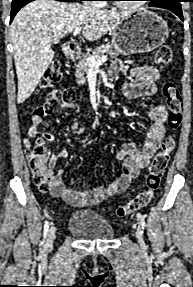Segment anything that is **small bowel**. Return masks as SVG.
I'll list each match as a JSON object with an SVG mask.
<instances>
[{
	"label": "small bowel",
	"instance_id": "1",
	"mask_svg": "<svg viewBox=\"0 0 193 287\" xmlns=\"http://www.w3.org/2000/svg\"><path fill=\"white\" fill-rule=\"evenodd\" d=\"M111 71L114 74L130 73L137 80V83H124L123 93L128 99L141 97L149 99L146 114L151 120V124L147 136L140 147L136 142L129 141L117 152V157L123 162L122 168L108 184H101L98 187L82 191L66 184L64 169L60 168L55 172L51 180V194L71 205H95L124 191L131 180L138 176L140 170L147 166L150 158L159 149L165 135L167 110L163 105L156 102L157 82L160 78L159 71L152 66L128 69L121 61L114 62L111 66ZM42 121L43 118L32 119V124L28 129L30 137L37 135ZM69 127L75 135H82L85 132V128L77 122L71 123ZM45 137L49 141L55 139V135L52 132L46 133ZM104 149H107L106 145ZM66 156V151L52 155L50 159L51 166L55 167L58 161Z\"/></svg>",
	"mask_w": 193,
	"mask_h": 287
}]
</instances>
